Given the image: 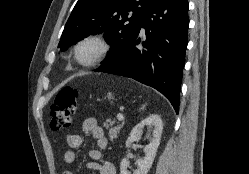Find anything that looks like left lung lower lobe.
<instances>
[{
  "mask_svg": "<svg viewBox=\"0 0 249 174\" xmlns=\"http://www.w3.org/2000/svg\"><path fill=\"white\" fill-rule=\"evenodd\" d=\"M188 8L187 0H152L140 27L146 33L143 48L137 47L141 42L137 35L119 61L95 71L133 78L155 88L178 113L188 41Z\"/></svg>",
  "mask_w": 249,
  "mask_h": 174,
  "instance_id": "obj_1",
  "label": "left lung lower lobe"
}]
</instances>
